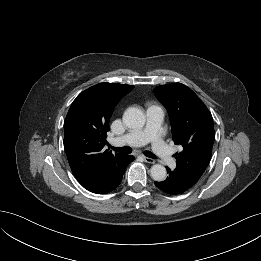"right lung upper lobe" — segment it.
I'll return each instance as SVG.
<instances>
[{
	"instance_id": "obj_1",
	"label": "right lung upper lobe",
	"mask_w": 261,
	"mask_h": 261,
	"mask_svg": "<svg viewBox=\"0 0 261 261\" xmlns=\"http://www.w3.org/2000/svg\"><path fill=\"white\" fill-rule=\"evenodd\" d=\"M134 86L99 83L73 101L64 124V147L71 170L83 187L106 177L124 155L104 149L115 106Z\"/></svg>"
}]
</instances>
